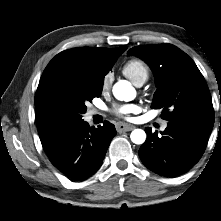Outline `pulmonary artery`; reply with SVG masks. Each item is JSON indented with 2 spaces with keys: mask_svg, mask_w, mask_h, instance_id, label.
Instances as JSON below:
<instances>
[{
  "mask_svg": "<svg viewBox=\"0 0 221 221\" xmlns=\"http://www.w3.org/2000/svg\"><path fill=\"white\" fill-rule=\"evenodd\" d=\"M143 83H144V82H139V83H137V84H135V85L138 86V87H140V86L143 85ZM95 113H96L95 111H92V112H91L92 115L95 114ZM163 128H166V124L163 125Z\"/></svg>",
  "mask_w": 221,
  "mask_h": 221,
  "instance_id": "pulmonary-artery-1",
  "label": "pulmonary artery"
}]
</instances>
